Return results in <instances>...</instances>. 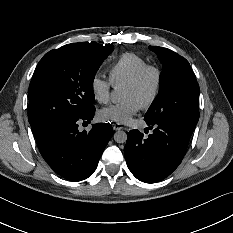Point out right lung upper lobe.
I'll return each instance as SVG.
<instances>
[{"mask_svg":"<svg viewBox=\"0 0 233 233\" xmlns=\"http://www.w3.org/2000/svg\"><path fill=\"white\" fill-rule=\"evenodd\" d=\"M79 44H84V45H88V46H93V47H98V48H110L113 47L112 44H105L104 46L102 44H97L94 42L91 43H79Z\"/></svg>","mask_w":233,"mask_h":233,"instance_id":"obj_1","label":"right lung upper lobe"}]
</instances>
